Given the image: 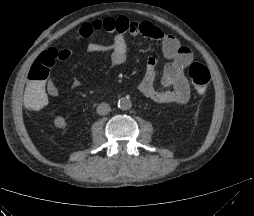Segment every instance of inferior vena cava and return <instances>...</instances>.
Segmentation results:
<instances>
[{"label":"inferior vena cava","instance_id":"obj_1","mask_svg":"<svg viewBox=\"0 0 254 216\" xmlns=\"http://www.w3.org/2000/svg\"><path fill=\"white\" fill-rule=\"evenodd\" d=\"M111 110V107L107 103H100L97 107V113L99 115H107Z\"/></svg>","mask_w":254,"mask_h":216}]
</instances>
